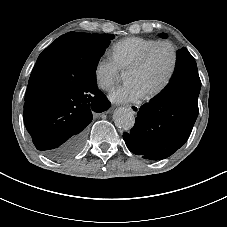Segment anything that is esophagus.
I'll return each mask as SVG.
<instances>
[{"instance_id": "34e87169", "label": "esophagus", "mask_w": 227, "mask_h": 227, "mask_svg": "<svg viewBox=\"0 0 227 227\" xmlns=\"http://www.w3.org/2000/svg\"><path fill=\"white\" fill-rule=\"evenodd\" d=\"M127 107L134 113V114H137L139 109H140V106L138 105H135V104H129L127 105Z\"/></svg>"}]
</instances>
